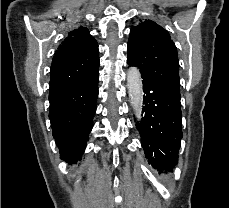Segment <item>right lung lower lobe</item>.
<instances>
[{
  "label": "right lung lower lobe",
  "mask_w": 229,
  "mask_h": 208,
  "mask_svg": "<svg viewBox=\"0 0 229 208\" xmlns=\"http://www.w3.org/2000/svg\"><path fill=\"white\" fill-rule=\"evenodd\" d=\"M98 67L88 77L49 94V119L60 157L78 161L93 127L98 97Z\"/></svg>",
  "instance_id": "right-lung-lower-lobe-1"
}]
</instances>
